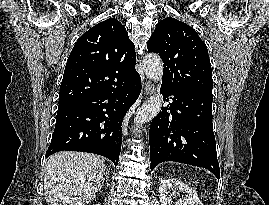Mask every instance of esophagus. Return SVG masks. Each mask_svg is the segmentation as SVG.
I'll use <instances>...</instances> for the list:
<instances>
[{
	"mask_svg": "<svg viewBox=\"0 0 269 205\" xmlns=\"http://www.w3.org/2000/svg\"><path fill=\"white\" fill-rule=\"evenodd\" d=\"M144 89H145V93L147 95H151V94H153L155 92V88L150 82L145 83Z\"/></svg>",
	"mask_w": 269,
	"mask_h": 205,
	"instance_id": "obj_1",
	"label": "esophagus"
}]
</instances>
